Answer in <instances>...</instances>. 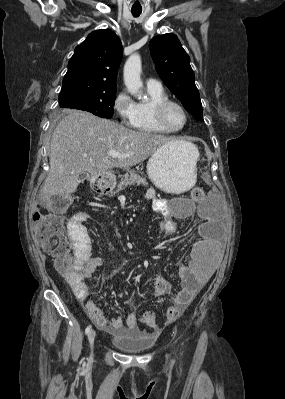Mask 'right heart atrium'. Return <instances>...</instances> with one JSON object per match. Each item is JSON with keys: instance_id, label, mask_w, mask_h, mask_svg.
I'll return each mask as SVG.
<instances>
[{"instance_id": "obj_1", "label": "right heart atrium", "mask_w": 285, "mask_h": 399, "mask_svg": "<svg viewBox=\"0 0 285 399\" xmlns=\"http://www.w3.org/2000/svg\"><path fill=\"white\" fill-rule=\"evenodd\" d=\"M113 109L125 126L134 127L136 123V103L126 90H121L115 96Z\"/></svg>"}]
</instances>
